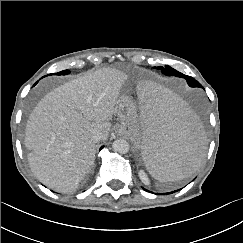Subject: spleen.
I'll return each instance as SVG.
<instances>
[{
    "label": "spleen",
    "mask_w": 243,
    "mask_h": 243,
    "mask_svg": "<svg viewBox=\"0 0 243 243\" xmlns=\"http://www.w3.org/2000/svg\"><path fill=\"white\" fill-rule=\"evenodd\" d=\"M140 99V160L159 182L191 176L201 165L206 136L198 116L168 87L145 78L136 87Z\"/></svg>",
    "instance_id": "3e777b00"
}]
</instances>
